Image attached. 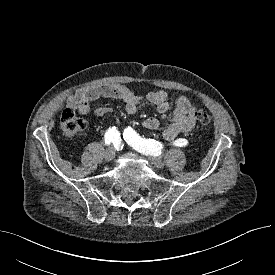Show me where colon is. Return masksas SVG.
<instances>
[{
    "label": "colon",
    "mask_w": 275,
    "mask_h": 275,
    "mask_svg": "<svg viewBox=\"0 0 275 275\" xmlns=\"http://www.w3.org/2000/svg\"><path fill=\"white\" fill-rule=\"evenodd\" d=\"M195 120L202 126H207L211 122V117L205 110H198L194 114ZM61 129L66 138H74L86 127L84 119L75 115L71 109H65L61 116Z\"/></svg>",
    "instance_id": "5ec220e1"
}]
</instances>
